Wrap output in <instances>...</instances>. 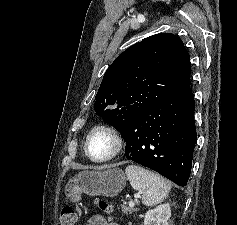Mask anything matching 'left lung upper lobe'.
Segmentation results:
<instances>
[{
    "instance_id": "obj_1",
    "label": "left lung upper lobe",
    "mask_w": 237,
    "mask_h": 225,
    "mask_svg": "<svg viewBox=\"0 0 237 225\" xmlns=\"http://www.w3.org/2000/svg\"><path fill=\"white\" fill-rule=\"evenodd\" d=\"M190 59L169 33L150 36L125 50L108 67L94 110L121 134L158 102L190 87Z\"/></svg>"
}]
</instances>
